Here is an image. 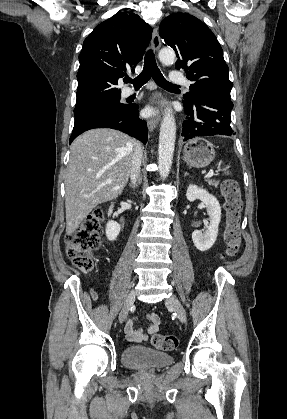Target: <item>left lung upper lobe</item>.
<instances>
[{"label": "left lung upper lobe", "mask_w": 287, "mask_h": 419, "mask_svg": "<svg viewBox=\"0 0 287 419\" xmlns=\"http://www.w3.org/2000/svg\"><path fill=\"white\" fill-rule=\"evenodd\" d=\"M159 33L165 46L176 52V68L184 69L192 82L184 103L191 104L203 94L230 97L232 82L222 48L212 31L188 13H175L160 24Z\"/></svg>", "instance_id": "5c2ea615"}]
</instances>
